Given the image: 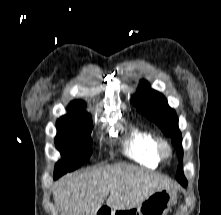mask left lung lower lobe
Instances as JSON below:
<instances>
[{
	"label": "left lung lower lobe",
	"instance_id": "1",
	"mask_svg": "<svg viewBox=\"0 0 221 215\" xmlns=\"http://www.w3.org/2000/svg\"><path fill=\"white\" fill-rule=\"evenodd\" d=\"M178 182H179L182 186H184V187L187 185V182H186V181L178 180Z\"/></svg>",
	"mask_w": 221,
	"mask_h": 215
}]
</instances>
